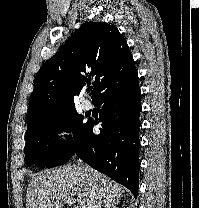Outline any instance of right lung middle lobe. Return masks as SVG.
<instances>
[{
  "label": "right lung middle lobe",
  "mask_w": 199,
  "mask_h": 208,
  "mask_svg": "<svg viewBox=\"0 0 199 208\" xmlns=\"http://www.w3.org/2000/svg\"><path fill=\"white\" fill-rule=\"evenodd\" d=\"M75 111L62 115L26 133L25 162L28 166L56 167L68 162L78 146L88 122ZM72 132L73 138L59 140L58 133Z\"/></svg>",
  "instance_id": "right-lung-middle-lobe-1"
}]
</instances>
